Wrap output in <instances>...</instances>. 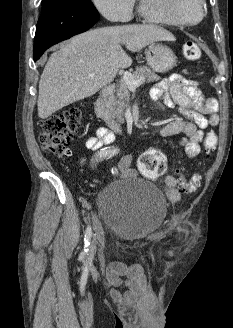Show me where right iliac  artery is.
Masks as SVG:
<instances>
[{
    "mask_svg": "<svg viewBox=\"0 0 233 328\" xmlns=\"http://www.w3.org/2000/svg\"><path fill=\"white\" fill-rule=\"evenodd\" d=\"M117 152H118V149H107L105 151L98 153L97 159H99V160L109 159L110 157L114 156ZM91 236H92V230H91V227L88 226L86 228L85 235H84V242H85L84 249L79 255L80 260H83L88 253V250H89L88 247L90 245Z\"/></svg>",
    "mask_w": 233,
    "mask_h": 328,
    "instance_id": "obj_1",
    "label": "right iliac artery"
}]
</instances>
